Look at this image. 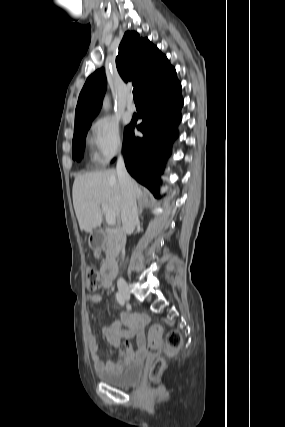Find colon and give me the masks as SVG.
<instances>
[{"instance_id": "obj_1", "label": "colon", "mask_w": 285, "mask_h": 427, "mask_svg": "<svg viewBox=\"0 0 285 427\" xmlns=\"http://www.w3.org/2000/svg\"><path fill=\"white\" fill-rule=\"evenodd\" d=\"M100 242L96 241L98 245ZM86 283L88 288L97 289L101 285L100 277L95 268L89 266L86 268ZM161 335L162 329L159 325H153L149 329L148 340H147V348L149 350L157 349L161 344ZM182 345V337L181 334L172 330L168 332L166 336V351L167 353H173L181 348ZM125 352L132 354L129 346H125ZM165 366V358L160 357L156 360L153 366L150 369L149 376L151 379H156L159 374L162 372Z\"/></svg>"}]
</instances>
